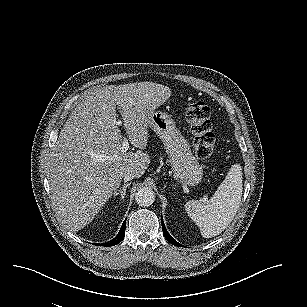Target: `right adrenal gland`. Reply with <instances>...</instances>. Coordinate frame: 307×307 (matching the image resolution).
<instances>
[{"instance_id": "2a0ac1e0", "label": "right adrenal gland", "mask_w": 307, "mask_h": 307, "mask_svg": "<svg viewBox=\"0 0 307 307\" xmlns=\"http://www.w3.org/2000/svg\"><path fill=\"white\" fill-rule=\"evenodd\" d=\"M131 184H124L121 188H119L117 191L114 192V195L117 196V194H121V198L124 199L125 198V195H126V189L128 187H130Z\"/></svg>"}]
</instances>
